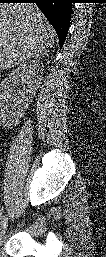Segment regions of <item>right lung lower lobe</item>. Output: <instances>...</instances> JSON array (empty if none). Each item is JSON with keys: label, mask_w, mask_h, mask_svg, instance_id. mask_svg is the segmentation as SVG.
Segmentation results:
<instances>
[{"label": "right lung lower lobe", "mask_w": 106, "mask_h": 257, "mask_svg": "<svg viewBox=\"0 0 106 257\" xmlns=\"http://www.w3.org/2000/svg\"><path fill=\"white\" fill-rule=\"evenodd\" d=\"M1 3H36L57 32L60 47L66 39L75 0H0Z\"/></svg>", "instance_id": "obj_1"}]
</instances>
